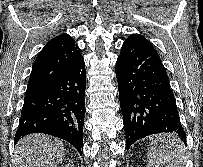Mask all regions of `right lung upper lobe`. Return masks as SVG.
<instances>
[{"label": "right lung upper lobe", "mask_w": 203, "mask_h": 167, "mask_svg": "<svg viewBox=\"0 0 203 167\" xmlns=\"http://www.w3.org/2000/svg\"><path fill=\"white\" fill-rule=\"evenodd\" d=\"M81 56L77 44L68 34L52 38L33 63L26 93L49 85L75 65Z\"/></svg>", "instance_id": "right-lung-upper-lobe-1"}]
</instances>
